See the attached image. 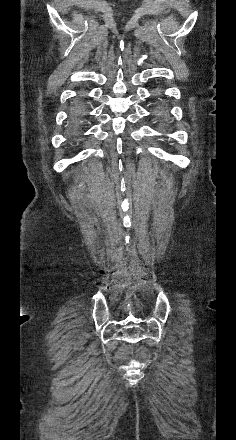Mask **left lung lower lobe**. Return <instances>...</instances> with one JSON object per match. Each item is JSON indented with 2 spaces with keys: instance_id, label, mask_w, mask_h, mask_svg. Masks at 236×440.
Instances as JSON below:
<instances>
[{
  "instance_id": "0a47b994",
  "label": "left lung lower lobe",
  "mask_w": 236,
  "mask_h": 440,
  "mask_svg": "<svg viewBox=\"0 0 236 440\" xmlns=\"http://www.w3.org/2000/svg\"><path fill=\"white\" fill-rule=\"evenodd\" d=\"M155 115L162 120L167 118V109L161 100H159L158 106L155 109Z\"/></svg>"
}]
</instances>
